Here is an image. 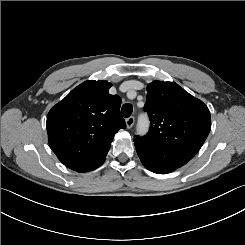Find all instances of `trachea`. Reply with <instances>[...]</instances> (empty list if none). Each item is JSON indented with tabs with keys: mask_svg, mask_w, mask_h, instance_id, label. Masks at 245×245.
<instances>
[{
	"mask_svg": "<svg viewBox=\"0 0 245 245\" xmlns=\"http://www.w3.org/2000/svg\"><path fill=\"white\" fill-rule=\"evenodd\" d=\"M133 107L131 104H124L121 108V114L123 117L128 118L132 114Z\"/></svg>",
	"mask_w": 245,
	"mask_h": 245,
	"instance_id": "3493384b",
	"label": "trachea"
}]
</instances>
